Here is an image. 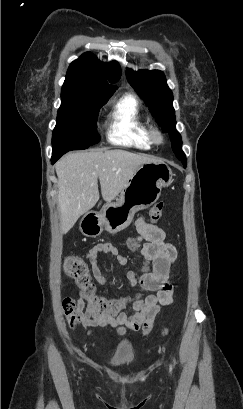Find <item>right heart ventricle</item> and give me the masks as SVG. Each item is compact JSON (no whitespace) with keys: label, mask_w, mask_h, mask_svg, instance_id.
Here are the masks:
<instances>
[{"label":"right heart ventricle","mask_w":243,"mask_h":409,"mask_svg":"<svg viewBox=\"0 0 243 409\" xmlns=\"http://www.w3.org/2000/svg\"><path fill=\"white\" fill-rule=\"evenodd\" d=\"M108 140L112 144L148 151L154 146L150 129L140 115L137 99L125 95L116 101L109 115Z\"/></svg>","instance_id":"right-heart-ventricle-1"}]
</instances>
